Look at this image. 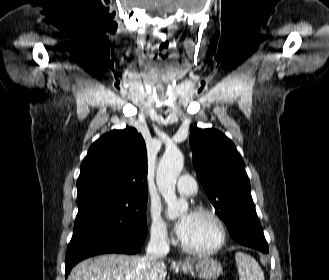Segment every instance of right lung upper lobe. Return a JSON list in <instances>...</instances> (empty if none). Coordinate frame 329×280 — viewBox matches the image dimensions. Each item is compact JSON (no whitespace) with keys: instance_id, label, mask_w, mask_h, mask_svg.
I'll return each mask as SVG.
<instances>
[{"instance_id":"cb5924a9","label":"right lung upper lobe","mask_w":329,"mask_h":280,"mask_svg":"<svg viewBox=\"0 0 329 280\" xmlns=\"http://www.w3.org/2000/svg\"><path fill=\"white\" fill-rule=\"evenodd\" d=\"M147 155L142 136L131 127L95 141L81 164L77 199L147 197Z\"/></svg>"}]
</instances>
